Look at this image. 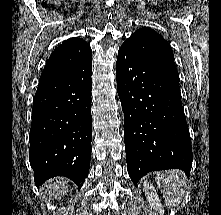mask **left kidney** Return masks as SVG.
<instances>
[{"label":"left kidney","mask_w":221,"mask_h":215,"mask_svg":"<svg viewBox=\"0 0 221 215\" xmlns=\"http://www.w3.org/2000/svg\"><path fill=\"white\" fill-rule=\"evenodd\" d=\"M143 191L145 192L146 198L150 206L153 207L156 211H158L160 215H164V209L162 207L161 201L153 184H151L148 181H144Z\"/></svg>","instance_id":"obj_1"}]
</instances>
